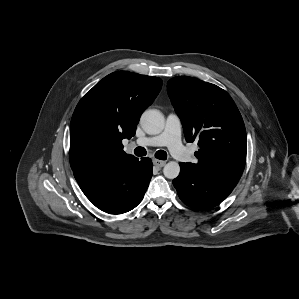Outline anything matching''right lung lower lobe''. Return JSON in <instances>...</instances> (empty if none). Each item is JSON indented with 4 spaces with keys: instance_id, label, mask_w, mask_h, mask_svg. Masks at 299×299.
<instances>
[{
    "instance_id": "1",
    "label": "right lung lower lobe",
    "mask_w": 299,
    "mask_h": 299,
    "mask_svg": "<svg viewBox=\"0 0 299 299\" xmlns=\"http://www.w3.org/2000/svg\"><path fill=\"white\" fill-rule=\"evenodd\" d=\"M152 167L150 158H134L97 171H76L74 176L96 207L109 214H122L143 199L152 177Z\"/></svg>"
}]
</instances>
